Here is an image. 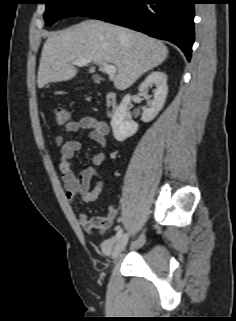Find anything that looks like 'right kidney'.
Returning a JSON list of instances; mask_svg holds the SVG:
<instances>
[{
    "label": "right kidney",
    "instance_id": "obj_1",
    "mask_svg": "<svg viewBox=\"0 0 236 321\" xmlns=\"http://www.w3.org/2000/svg\"><path fill=\"white\" fill-rule=\"evenodd\" d=\"M152 84L156 85V89L154 90L153 100H149L147 91ZM138 90L144 98L148 100L147 103L149 105V108L144 110L141 120L143 122H150L158 115L165 104L168 93L167 75L161 71L150 73L140 84ZM130 103L131 95L128 94L122 99V102L112 117L111 127L114 138L117 141H124L134 135L138 130V124L130 119L128 113Z\"/></svg>",
    "mask_w": 236,
    "mask_h": 321
}]
</instances>
